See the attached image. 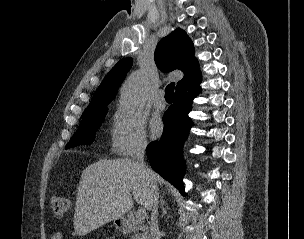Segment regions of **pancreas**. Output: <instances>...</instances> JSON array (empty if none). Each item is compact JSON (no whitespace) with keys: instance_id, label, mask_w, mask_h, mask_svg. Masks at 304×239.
I'll list each match as a JSON object with an SVG mask.
<instances>
[{"instance_id":"1","label":"pancreas","mask_w":304,"mask_h":239,"mask_svg":"<svg viewBox=\"0 0 304 239\" xmlns=\"http://www.w3.org/2000/svg\"><path fill=\"white\" fill-rule=\"evenodd\" d=\"M140 224H141V221L134 222V223H133L134 229H138L139 226H140ZM132 239H134V237H132Z\"/></svg>"}]
</instances>
